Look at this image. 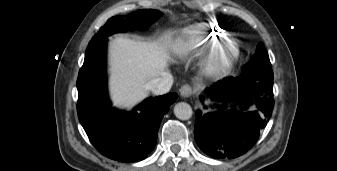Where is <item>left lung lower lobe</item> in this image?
Wrapping results in <instances>:
<instances>
[{"mask_svg":"<svg viewBox=\"0 0 337 171\" xmlns=\"http://www.w3.org/2000/svg\"><path fill=\"white\" fill-rule=\"evenodd\" d=\"M206 97L222 105L207 114L196 111L195 140L200 149L216 159H233L250 150L269 121L273 110V76L241 73L228 77L205 90ZM201 101L204 96H200ZM232 101L243 111L252 104L254 111L222 110Z\"/></svg>","mask_w":337,"mask_h":171,"instance_id":"1","label":"left lung lower lobe"}]
</instances>
